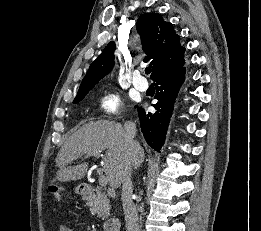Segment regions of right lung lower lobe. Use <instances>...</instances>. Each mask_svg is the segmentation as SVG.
I'll use <instances>...</instances> for the list:
<instances>
[{"instance_id": "1", "label": "right lung lower lobe", "mask_w": 261, "mask_h": 231, "mask_svg": "<svg viewBox=\"0 0 261 231\" xmlns=\"http://www.w3.org/2000/svg\"><path fill=\"white\" fill-rule=\"evenodd\" d=\"M184 79L185 67L158 77L154 81L157 89L155 98L158 100L153 105L156 112L146 113L143 108H138L143 136L148 145L157 152H160L164 144L174 103Z\"/></svg>"}]
</instances>
